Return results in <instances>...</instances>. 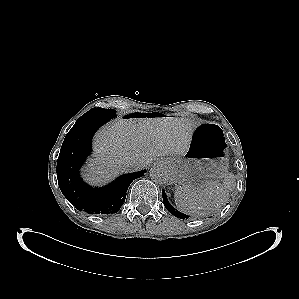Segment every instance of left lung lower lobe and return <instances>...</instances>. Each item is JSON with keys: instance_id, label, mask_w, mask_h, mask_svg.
I'll list each match as a JSON object with an SVG mask.
<instances>
[{"instance_id": "0a47b994", "label": "left lung lower lobe", "mask_w": 299, "mask_h": 299, "mask_svg": "<svg viewBox=\"0 0 299 299\" xmlns=\"http://www.w3.org/2000/svg\"><path fill=\"white\" fill-rule=\"evenodd\" d=\"M162 195H163L164 205H165L166 209L171 214H173L175 217L180 218V219H187V218H189L188 215H185V214L179 212L178 210H175V208L173 206H171V204L168 202L167 196H166V194H165L164 191H162Z\"/></svg>"}]
</instances>
